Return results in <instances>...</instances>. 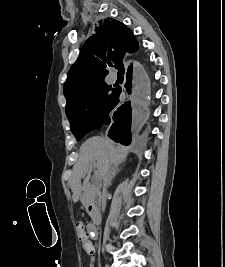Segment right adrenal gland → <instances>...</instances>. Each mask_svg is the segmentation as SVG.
<instances>
[{
	"label": "right adrenal gland",
	"mask_w": 225,
	"mask_h": 267,
	"mask_svg": "<svg viewBox=\"0 0 225 267\" xmlns=\"http://www.w3.org/2000/svg\"><path fill=\"white\" fill-rule=\"evenodd\" d=\"M124 161H122L119 164L113 165L111 167V176H110V180H109V186L111 185L112 179L117 175V173L120 171V165L123 163Z\"/></svg>",
	"instance_id": "2a0ac1e0"
}]
</instances>
